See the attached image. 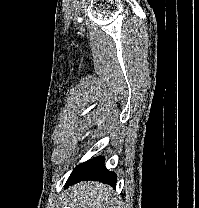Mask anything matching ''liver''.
I'll list each match as a JSON object with an SVG mask.
<instances>
[{
  "label": "liver",
  "mask_w": 199,
  "mask_h": 208,
  "mask_svg": "<svg viewBox=\"0 0 199 208\" xmlns=\"http://www.w3.org/2000/svg\"><path fill=\"white\" fill-rule=\"evenodd\" d=\"M71 200L67 199L73 208H115L111 198L112 188L98 182H81L71 187Z\"/></svg>",
  "instance_id": "obj_1"
}]
</instances>
